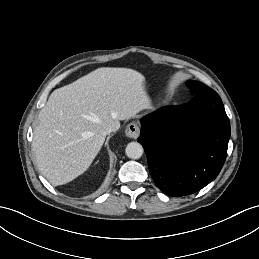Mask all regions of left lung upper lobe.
I'll return each instance as SVG.
<instances>
[{"mask_svg": "<svg viewBox=\"0 0 259 259\" xmlns=\"http://www.w3.org/2000/svg\"><path fill=\"white\" fill-rule=\"evenodd\" d=\"M187 86L190 87L192 91L197 94L209 93L212 91L211 88L198 81H189L187 82Z\"/></svg>", "mask_w": 259, "mask_h": 259, "instance_id": "obj_1", "label": "left lung upper lobe"}]
</instances>
